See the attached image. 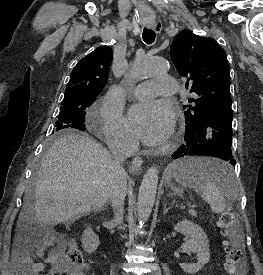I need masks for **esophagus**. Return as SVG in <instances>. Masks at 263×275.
Returning a JSON list of instances; mask_svg holds the SVG:
<instances>
[{"label": "esophagus", "mask_w": 263, "mask_h": 275, "mask_svg": "<svg viewBox=\"0 0 263 275\" xmlns=\"http://www.w3.org/2000/svg\"><path fill=\"white\" fill-rule=\"evenodd\" d=\"M150 28H153L157 33H160L162 30V24L161 23H156L154 25L149 26ZM143 163V160L140 156H135L132 160V166L131 170L133 172H137Z\"/></svg>", "instance_id": "34e87169"}]
</instances>
